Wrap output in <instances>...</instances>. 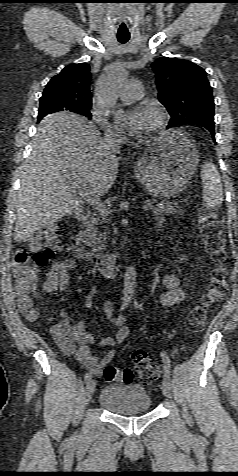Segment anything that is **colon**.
I'll use <instances>...</instances> for the list:
<instances>
[{"label": "colon", "mask_w": 238, "mask_h": 476, "mask_svg": "<svg viewBox=\"0 0 238 476\" xmlns=\"http://www.w3.org/2000/svg\"><path fill=\"white\" fill-rule=\"evenodd\" d=\"M198 219L205 249L216 266L211 273L209 288L187 315V326L192 332L203 329L209 310L225 296L228 287L227 271L223 265L226 259L224 221L220 215L209 210H202ZM58 235V228L50 226L35 236L29 248L20 249L13 255L15 292L19 307L29 320L35 319L37 315L33 296L38 286V274L61 250ZM132 360L139 380L144 385L158 378L159 371L144 350L134 351ZM104 378L109 382L131 383L134 373L130 368L108 366L104 369Z\"/></svg>", "instance_id": "1"}]
</instances>
